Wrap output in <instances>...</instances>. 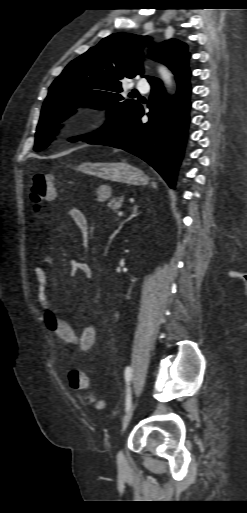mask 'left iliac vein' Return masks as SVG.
I'll return each mask as SVG.
<instances>
[{"instance_id":"4c4485c4","label":"left iliac vein","mask_w":247,"mask_h":513,"mask_svg":"<svg viewBox=\"0 0 247 513\" xmlns=\"http://www.w3.org/2000/svg\"><path fill=\"white\" fill-rule=\"evenodd\" d=\"M135 406H136L135 403L132 404L130 406L129 410L127 411V413L124 417V420H123V424H122V432H124L126 430L127 426L129 425V422L132 418ZM117 465H118V469L121 473H124L128 470V463H127V460L122 451H119L117 454Z\"/></svg>"}]
</instances>
